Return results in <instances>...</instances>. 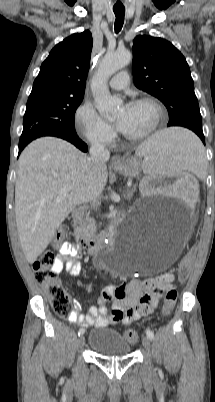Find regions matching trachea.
I'll return each instance as SVG.
<instances>
[{
	"mask_svg": "<svg viewBox=\"0 0 215 402\" xmlns=\"http://www.w3.org/2000/svg\"><path fill=\"white\" fill-rule=\"evenodd\" d=\"M113 11L116 16L114 29L116 33H119L124 24L125 9H114Z\"/></svg>",
	"mask_w": 215,
	"mask_h": 402,
	"instance_id": "1",
	"label": "trachea"
}]
</instances>
